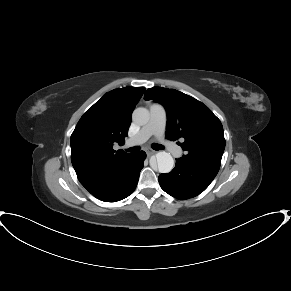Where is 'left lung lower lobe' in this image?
<instances>
[{
  "mask_svg": "<svg viewBox=\"0 0 291 291\" xmlns=\"http://www.w3.org/2000/svg\"><path fill=\"white\" fill-rule=\"evenodd\" d=\"M218 171L217 167L180 158L176 159L175 168L170 173L160 174L158 180L166 193L185 200L202 193Z\"/></svg>",
  "mask_w": 291,
  "mask_h": 291,
  "instance_id": "obj_1",
  "label": "left lung lower lobe"
}]
</instances>
